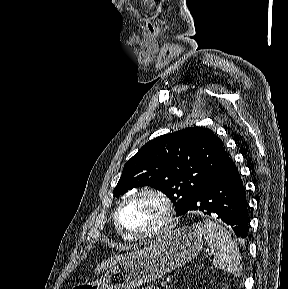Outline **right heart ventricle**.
I'll return each instance as SVG.
<instances>
[{"label":"right heart ventricle","mask_w":288,"mask_h":289,"mask_svg":"<svg viewBox=\"0 0 288 289\" xmlns=\"http://www.w3.org/2000/svg\"><path fill=\"white\" fill-rule=\"evenodd\" d=\"M118 206H119V205H118ZM118 206H117V208H118ZM117 208H116V210H117ZM116 210H115V212H114V214H113V223H114V226H115V229H116L118 235L121 237V239H123V240H125V241L132 240V239L127 238L125 235H123V234L119 231V229L117 228L116 222H115V213H116Z\"/></svg>","instance_id":"1"}]
</instances>
